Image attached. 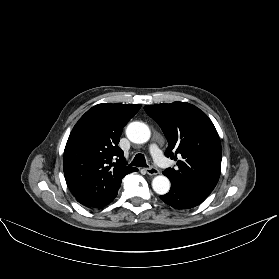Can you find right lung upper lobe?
I'll return each instance as SVG.
<instances>
[{
  "label": "right lung upper lobe",
  "mask_w": 279,
  "mask_h": 279,
  "mask_svg": "<svg viewBox=\"0 0 279 279\" xmlns=\"http://www.w3.org/2000/svg\"><path fill=\"white\" fill-rule=\"evenodd\" d=\"M139 104H98L76 123L64 150V175L76 200L94 207L110 200L122 178L138 169L127 166L118 147L123 127Z\"/></svg>",
  "instance_id": "cb5924a9"
}]
</instances>
